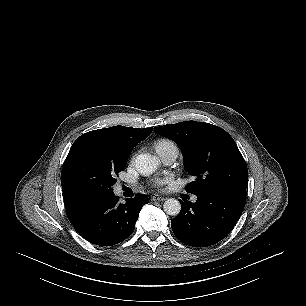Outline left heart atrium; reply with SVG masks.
Returning a JSON list of instances; mask_svg holds the SVG:
<instances>
[{
    "label": "left heart atrium",
    "mask_w": 306,
    "mask_h": 306,
    "mask_svg": "<svg viewBox=\"0 0 306 306\" xmlns=\"http://www.w3.org/2000/svg\"><path fill=\"white\" fill-rule=\"evenodd\" d=\"M173 180V177L171 175H167L165 177H161V178H155L151 181V185L154 188L157 189H162L164 188L166 185L170 184Z\"/></svg>",
    "instance_id": "39dd6f15"
}]
</instances>
